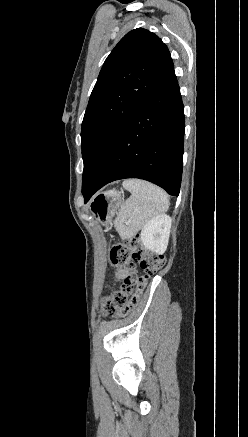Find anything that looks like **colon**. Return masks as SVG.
Here are the masks:
<instances>
[{"instance_id":"1","label":"colon","mask_w":248,"mask_h":437,"mask_svg":"<svg viewBox=\"0 0 248 437\" xmlns=\"http://www.w3.org/2000/svg\"><path fill=\"white\" fill-rule=\"evenodd\" d=\"M111 262L129 270L119 291L102 300V311L119 318L127 316L138 304L148 278L165 264L162 254L145 250L138 238L115 244L110 252ZM140 265L142 275H137L135 266Z\"/></svg>"}]
</instances>
